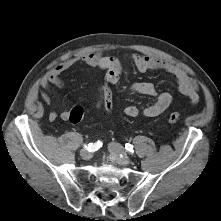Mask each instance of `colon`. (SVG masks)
Returning a JSON list of instances; mask_svg holds the SVG:
<instances>
[{
    "label": "colon",
    "mask_w": 221,
    "mask_h": 221,
    "mask_svg": "<svg viewBox=\"0 0 221 221\" xmlns=\"http://www.w3.org/2000/svg\"><path fill=\"white\" fill-rule=\"evenodd\" d=\"M103 76L105 78H112L113 77V70L111 67H104L103 68ZM103 104H102V111L105 113L106 117H113L114 116V94L111 85H104L103 86ZM84 116V108L81 105H75L69 113V120L73 123H78L82 120ZM181 119V114L179 112H170L167 115V120L170 123L178 122Z\"/></svg>",
    "instance_id": "1"
}]
</instances>
